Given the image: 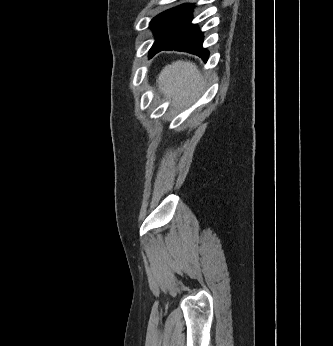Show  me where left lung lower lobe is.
I'll list each match as a JSON object with an SVG mask.
<instances>
[{
    "mask_svg": "<svg viewBox=\"0 0 333 346\" xmlns=\"http://www.w3.org/2000/svg\"><path fill=\"white\" fill-rule=\"evenodd\" d=\"M203 39V34L198 25L192 24L190 21L171 38L154 44L149 51V57L162 50H176L197 55L206 62L209 52L202 47Z\"/></svg>",
    "mask_w": 333,
    "mask_h": 346,
    "instance_id": "1",
    "label": "left lung lower lobe"
}]
</instances>
